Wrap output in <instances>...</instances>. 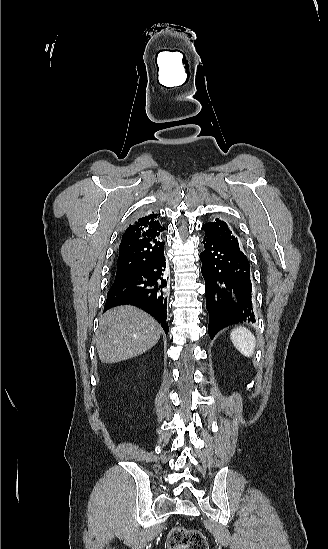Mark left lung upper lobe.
Instances as JSON below:
<instances>
[{
    "mask_svg": "<svg viewBox=\"0 0 328 549\" xmlns=\"http://www.w3.org/2000/svg\"><path fill=\"white\" fill-rule=\"evenodd\" d=\"M205 231V236L212 237L218 241L226 243L234 248H239L238 238L232 232L228 224L219 218L212 222H208L202 226Z\"/></svg>",
    "mask_w": 328,
    "mask_h": 549,
    "instance_id": "5c2ea615",
    "label": "left lung upper lobe"
}]
</instances>
